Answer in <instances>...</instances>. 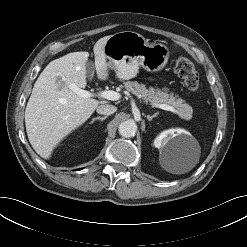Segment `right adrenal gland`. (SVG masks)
<instances>
[{
  "mask_svg": "<svg viewBox=\"0 0 247 247\" xmlns=\"http://www.w3.org/2000/svg\"><path fill=\"white\" fill-rule=\"evenodd\" d=\"M107 118V116H104V117H96V118H93L92 121L90 122V124L94 123L96 120H100V121H103Z\"/></svg>",
  "mask_w": 247,
  "mask_h": 247,
  "instance_id": "1",
  "label": "right adrenal gland"
}]
</instances>
